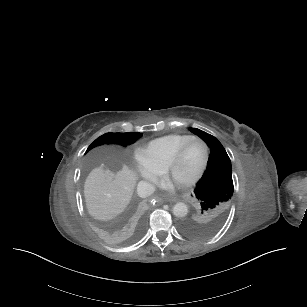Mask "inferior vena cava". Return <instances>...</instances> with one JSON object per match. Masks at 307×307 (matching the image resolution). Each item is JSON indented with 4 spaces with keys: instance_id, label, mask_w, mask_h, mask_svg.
Instances as JSON below:
<instances>
[{
    "instance_id": "1",
    "label": "inferior vena cava",
    "mask_w": 307,
    "mask_h": 307,
    "mask_svg": "<svg viewBox=\"0 0 307 307\" xmlns=\"http://www.w3.org/2000/svg\"><path fill=\"white\" fill-rule=\"evenodd\" d=\"M155 191V187L153 184L148 183L146 181H140L137 186L138 196L141 198H146L152 195Z\"/></svg>"
}]
</instances>
